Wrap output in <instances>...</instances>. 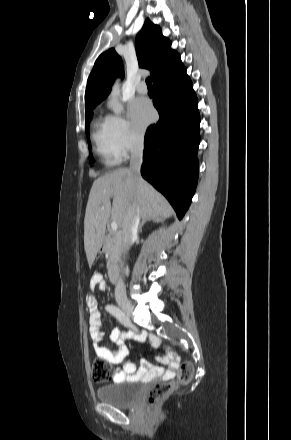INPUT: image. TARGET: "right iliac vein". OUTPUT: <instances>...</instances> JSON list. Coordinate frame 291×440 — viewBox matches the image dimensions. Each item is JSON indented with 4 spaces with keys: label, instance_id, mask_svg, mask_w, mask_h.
Returning <instances> with one entry per match:
<instances>
[{
    "label": "right iliac vein",
    "instance_id": "obj_1",
    "mask_svg": "<svg viewBox=\"0 0 291 440\" xmlns=\"http://www.w3.org/2000/svg\"><path fill=\"white\" fill-rule=\"evenodd\" d=\"M119 306L121 307V309L127 314V315H131L133 312V306L131 305V303L128 300H121L119 301Z\"/></svg>",
    "mask_w": 291,
    "mask_h": 440
}]
</instances>
